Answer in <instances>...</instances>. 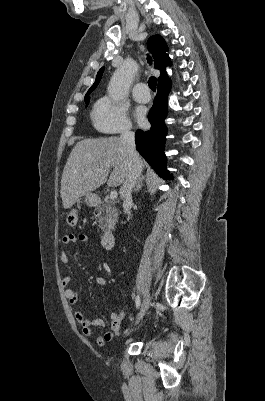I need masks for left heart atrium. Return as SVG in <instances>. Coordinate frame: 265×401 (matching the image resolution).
Listing matches in <instances>:
<instances>
[{"label": "left heart atrium", "instance_id": "1", "mask_svg": "<svg viewBox=\"0 0 265 401\" xmlns=\"http://www.w3.org/2000/svg\"><path fill=\"white\" fill-rule=\"evenodd\" d=\"M135 116L139 122H142L145 118V111L142 108L137 107L135 110Z\"/></svg>", "mask_w": 265, "mask_h": 401}]
</instances>
